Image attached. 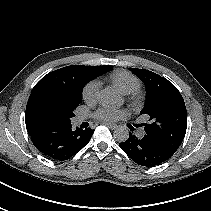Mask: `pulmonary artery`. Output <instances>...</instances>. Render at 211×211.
Wrapping results in <instances>:
<instances>
[{
	"instance_id": "e3ab8cb5",
	"label": "pulmonary artery",
	"mask_w": 211,
	"mask_h": 211,
	"mask_svg": "<svg viewBox=\"0 0 211 211\" xmlns=\"http://www.w3.org/2000/svg\"><path fill=\"white\" fill-rule=\"evenodd\" d=\"M84 120V117L83 116H79V117H77L76 119H75V123H80V122H82ZM145 135V133L142 131V132H140L139 133V136L140 137H143Z\"/></svg>"
}]
</instances>
